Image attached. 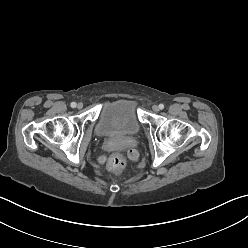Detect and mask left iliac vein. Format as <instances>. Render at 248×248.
<instances>
[{"label":"left iliac vein","mask_w":248,"mask_h":248,"mask_svg":"<svg viewBox=\"0 0 248 248\" xmlns=\"http://www.w3.org/2000/svg\"><path fill=\"white\" fill-rule=\"evenodd\" d=\"M152 109H153V111L158 112L160 108L158 105H153Z\"/></svg>","instance_id":"obj_1"}]
</instances>
